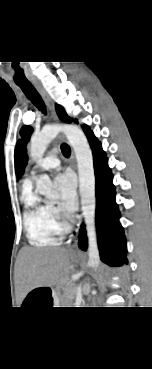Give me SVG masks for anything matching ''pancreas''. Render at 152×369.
<instances>
[{
	"label": "pancreas",
	"instance_id": "cf45deb5",
	"mask_svg": "<svg viewBox=\"0 0 152 369\" xmlns=\"http://www.w3.org/2000/svg\"><path fill=\"white\" fill-rule=\"evenodd\" d=\"M67 298L68 300H71L72 298H74V289H70V292L67 294Z\"/></svg>",
	"mask_w": 152,
	"mask_h": 369
}]
</instances>
